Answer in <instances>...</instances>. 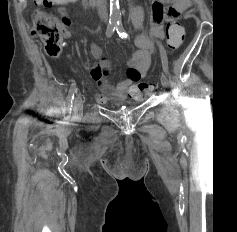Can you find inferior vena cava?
<instances>
[{"mask_svg": "<svg viewBox=\"0 0 237 232\" xmlns=\"http://www.w3.org/2000/svg\"><path fill=\"white\" fill-rule=\"evenodd\" d=\"M91 1L96 6L100 18L106 20L108 18L106 0H91Z\"/></svg>", "mask_w": 237, "mask_h": 232, "instance_id": "inferior-vena-cava-1", "label": "inferior vena cava"}]
</instances>
